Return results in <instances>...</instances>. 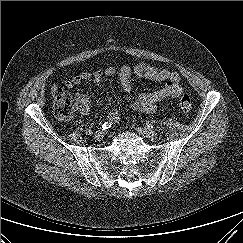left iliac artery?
Instances as JSON below:
<instances>
[{
    "instance_id": "left-iliac-artery-1",
    "label": "left iliac artery",
    "mask_w": 243,
    "mask_h": 243,
    "mask_svg": "<svg viewBox=\"0 0 243 243\" xmlns=\"http://www.w3.org/2000/svg\"><path fill=\"white\" fill-rule=\"evenodd\" d=\"M146 127L149 128V129L153 128L154 124L152 122H150V121H146Z\"/></svg>"
}]
</instances>
